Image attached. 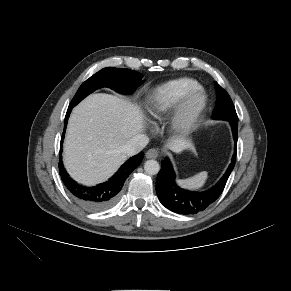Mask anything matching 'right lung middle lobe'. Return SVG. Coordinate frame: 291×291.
<instances>
[{"instance_id":"right-lung-middle-lobe-1","label":"right lung middle lobe","mask_w":291,"mask_h":291,"mask_svg":"<svg viewBox=\"0 0 291 291\" xmlns=\"http://www.w3.org/2000/svg\"><path fill=\"white\" fill-rule=\"evenodd\" d=\"M141 77L142 74L130 69L103 68L80 86L69 107H74L83 98L100 87H109L119 93H131L143 83Z\"/></svg>"}]
</instances>
